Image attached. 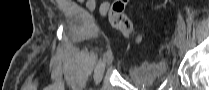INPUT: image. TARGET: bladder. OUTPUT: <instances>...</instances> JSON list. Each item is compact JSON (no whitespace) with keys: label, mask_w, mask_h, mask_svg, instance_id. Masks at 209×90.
Segmentation results:
<instances>
[{"label":"bladder","mask_w":209,"mask_h":90,"mask_svg":"<svg viewBox=\"0 0 209 90\" xmlns=\"http://www.w3.org/2000/svg\"><path fill=\"white\" fill-rule=\"evenodd\" d=\"M168 72V64L163 61L144 60L133 64L128 69L129 78L144 86H151L165 78Z\"/></svg>","instance_id":"obj_1"}]
</instances>
